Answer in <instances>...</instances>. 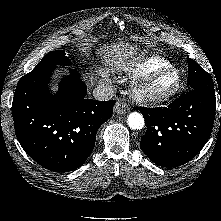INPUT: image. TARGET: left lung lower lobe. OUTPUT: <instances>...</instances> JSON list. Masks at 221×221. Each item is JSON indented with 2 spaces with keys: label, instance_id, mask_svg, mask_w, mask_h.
I'll return each mask as SVG.
<instances>
[{
  "label": "left lung lower lobe",
  "instance_id": "1",
  "mask_svg": "<svg viewBox=\"0 0 221 221\" xmlns=\"http://www.w3.org/2000/svg\"><path fill=\"white\" fill-rule=\"evenodd\" d=\"M216 97L191 89L167 107H141L147 130L140 148L156 165L176 167L190 161L210 137Z\"/></svg>",
  "mask_w": 221,
  "mask_h": 221
}]
</instances>
